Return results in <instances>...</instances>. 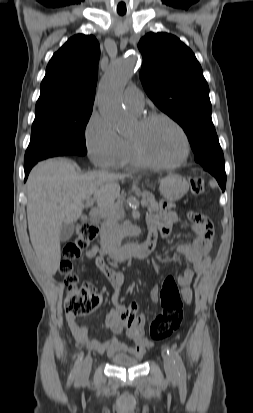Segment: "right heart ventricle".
Returning a JSON list of instances; mask_svg holds the SVG:
<instances>
[{
	"label": "right heart ventricle",
	"instance_id": "1",
	"mask_svg": "<svg viewBox=\"0 0 253 413\" xmlns=\"http://www.w3.org/2000/svg\"><path fill=\"white\" fill-rule=\"evenodd\" d=\"M124 146L117 166L140 167L144 164L137 157L130 139H124Z\"/></svg>",
	"mask_w": 253,
	"mask_h": 413
}]
</instances>
